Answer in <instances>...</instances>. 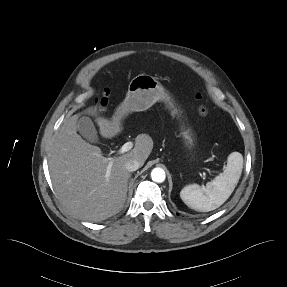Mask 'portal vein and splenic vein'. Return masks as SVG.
Instances as JSON below:
<instances>
[{
    "instance_id": "portal-vein-and-splenic-vein-1",
    "label": "portal vein and splenic vein",
    "mask_w": 287,
    "mask_h": 287,
    "mask_svg": "<svg viewBox=\"0 0 287 287\" xmlns=\"http://www.w3.org/2000/svg\"><path fill=\"white\" fill-rule=\"evenodd\" d=\"M132 147H133V143L131 141H128L118 150L117 154H124V153L128 152L129 150H131ZM111 166H112V163H110L108 165L106 177L110 176Z\"/></svg>"
}]
</instances>
